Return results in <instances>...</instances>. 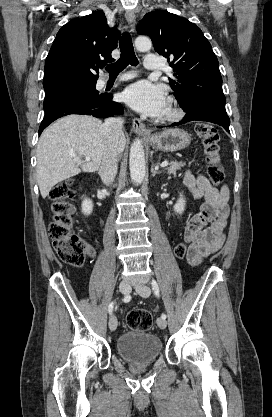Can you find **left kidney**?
<instances>
[{
  "label": "left kidney",
  "instance_id": "1",
  "mask_svg": "<svg viewBox=\"0 0 272 417\" xmlns=\"http://www.w3.org/2000/svg\"><path fill=\"white\" fill-rule=\"evenodd\" d=\"M185 204H186V201H185L183 195L180 193V197L177 200V203L173 207L175 213L182 214L183 211L185 210Z\"/></svg>",
  "mask_w": 272,
  "mask_h": 417
}]
</instances>
